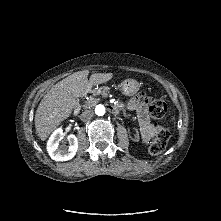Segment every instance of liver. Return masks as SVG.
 Listing matches in <instances>:
<instances>
[{
  "mask_svg": "<svg viewBox=\"0 0 221 221\" xmlns=\"http://www.w3.org/2000/svg\"><path fill=\"white\" fill-rule=\"evenodd\" d=\"M88 70L78 71L55 84L41 100L35 114L38 137L44 141L67 119L76 106V99L86 95L89 86L112 79V73H95L88 80Z\"/></svg>",
  "mask_w": 221,
  "mask_h": 221,
  "instance_id": "liver-1",
  "label": "liver"
}]
</instances>
